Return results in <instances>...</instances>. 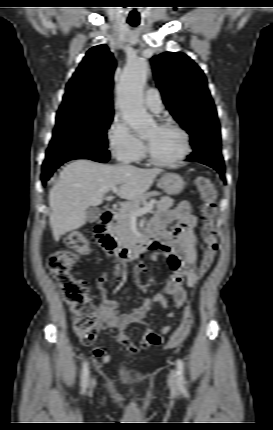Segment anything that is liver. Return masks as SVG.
<instances>
[{
	"instance_id": "liver-1",
	"label": "liver",
	"mask_w": 273,
	"mask_h": 430,
	"mask_svg": "<svg viewBox=\"0 0 273 430\" xmlns=\"http://www.w3.org/2000/svg\"><path fill=\"white\" fill-rule=\"evenodd\" d=\"M162 169H141L132 165H107L78 159L63 167L49 193L50 226L55 241L81 228L89 206L102 204L104 195L120 186L118 196L137 200L153 184Z\"/></svg>"
}]
</instances>
